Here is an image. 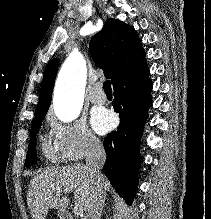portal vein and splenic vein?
Here are the masks:
<instances>
[{
	"label": "portal vein and splenic vein",
	"instance_id": "obj_1",
	"mask_svg": "<svg viewBox=\"0 0 211 219\" xmlns=\"http://www.w3.org/2000/svg\"><path fill=\"white\" fill-rule=\"evenodd\" d=\"M82 212V209H80L78 206L74 207V214H80Z\"/></svg>",
	"mask_w": 211,
	"mask_h": 219
}]
</instances>
